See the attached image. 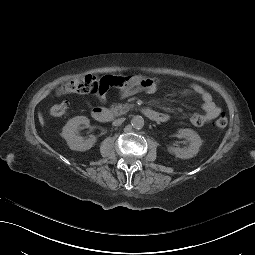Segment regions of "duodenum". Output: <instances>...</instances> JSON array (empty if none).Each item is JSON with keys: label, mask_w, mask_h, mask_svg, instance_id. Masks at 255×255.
Segmentation results:
<instances>
[{"label": "duodenum", "mask_w": 255, "mask_h": 255, "mask_svg": "<svg viewBox=\"0 0 255 255\" xmlns=\"http://www.w3.org/2000/svg\"><path fill=\"white\" fill-rule=\"evenodd\" d=\"M142 113L154 122H166L168 120V116L157 112L150 108H143ZM92 117L98 122H109L112 121L117 115L118 111L109 109L106 107H94L91 111Z\"/></svg>", "instance_id": "obj_1"}]
</instances>
